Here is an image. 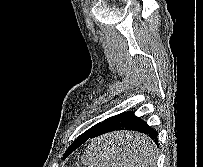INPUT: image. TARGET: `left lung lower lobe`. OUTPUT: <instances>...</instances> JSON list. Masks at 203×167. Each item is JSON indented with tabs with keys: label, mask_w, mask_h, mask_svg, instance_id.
I'll return each mask as SVG.
<instances>
[{
	"label": "left lung lower lobe",
	"mask_w": 203,
	"mask_h": 167,
	"mask_svg": "<svg viewBox=\"0 0 203 167\" xmlns=\"http://www.w3.org/2000/svg\"><path fill=\"white\" fill-rule=\"evenodd\" d=\"M118 130H132V131H138L141 133L146 134L149 136L155 144L158 145V132L150 127L145 121L140 119L139 117H136L134 115V112L127 111L120 113L118 115L112 116L101 122L98 127L91 133L87 134L85 136H79L71 146V149L65 154V157H67L72 150L78 148L80 145H82L84 142H86L88 139L95 138L113 131ZM109 136V135H108ZM107 136L101 137L106 138ZM109 148H113L114 150L118 149H126V150H133L137 153H140L141 149L146 150L145 146L136 145L133 142H123L118 143L116 141L111 142V144H108ZM73 150V151H74Z\"/></svg>",
	"instance_id": "left-lung-lower-lobe-1"
}]
</instances>
